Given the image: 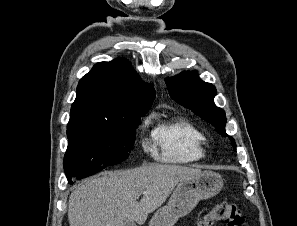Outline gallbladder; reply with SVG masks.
Wrapping results in <instances>:
<instances>
[{
    "mask_svg": "<svg viewBox=\"0 0 297 226\" xmlns=\"http://www.w3.org/2000/svg\"><path fill=\"white\" fill-rule=\"evenodd\" d=\"M124 226H136V224H135L133 221L127 220V221L124 223Z\"/></svg>",
    "mask_w": 297,
    "mask_h": 226,
    "instance_id": "gallbladder-1",
    "label": "gallbladder"
}]
</instances>
